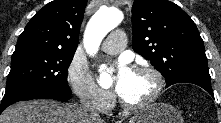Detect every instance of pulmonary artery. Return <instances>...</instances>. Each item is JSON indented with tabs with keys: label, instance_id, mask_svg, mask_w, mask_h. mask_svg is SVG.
Masks as SVG:
<instances>
[{
	"label": "pulmonary artery",
	"instance_id": "e3ab8cb5",
	"mask_svg": "<svg viewBox=\"0 0 221 123\" xmlns=\"http://www.w3.org/2000/svg\"><path fill=\"white\" fill-rule=\"evenodd\" d=\"M126 46V36L121 30L111 32L102 43V50L109 54H117L124 50Z\"/></svg>",
	"mask_w": 221,
	"mask_h": 123
}]
</instances>
